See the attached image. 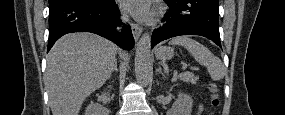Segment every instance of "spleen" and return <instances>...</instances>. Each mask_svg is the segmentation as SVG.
<instances>
[{
	"mask_svg": "<svg viewBox=\"0 0 285 115\" xmlns=\"http://www.w3.org/2000/svg\"><path fill=\"white\" fill-rule=\"evenodd\" d=\"M169 44L181 45L186 48L198 63L207 68L212 80L218 81L224 78L226 69L220 58L198 41L188 36H179L173 38Z\"/></svg>",
	"mask_w": 285,
	"mask_h": 115,
	"instance_id": "1",
	"label": "spleen"
}]
</instances>
